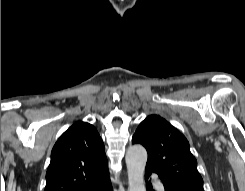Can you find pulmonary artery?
Here are the masks:
<instances>
[{"label":"pulmonary artery","mask_w":245,"mask_h":191,"mask_svg":"<svg viewBox=\"0 0 245 191\" xmlns=\"http://www.w3.org/2000/svg\"><path fill=\"white\" fill-rule=\"evenodd\" d=\"M155 188H156L157 191H164V185L160 181H156L155 182Z\"/></svg>","instance_id":"pulmonary-artery-1"}]
</instances>
